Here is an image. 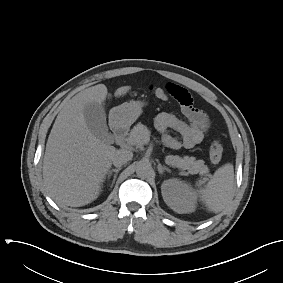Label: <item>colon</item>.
<instances>
[{"instance_id": "1", "label": "colon", "mask_w": 283, "mask_h": 283, "mask_svg": "<svg viewBox=\"0 0 283 283\" xmlns=\"http://www.w3.org/2000/svg\"><path fill=\"white\" fill-rule=\"evenodd\" d=\"M151 92L159 99H166L167 97L165 89L158 86H152ZM209 155L212 164L217 165L220 163L223 155V146L218 139L211 142Z\"/></svg>"}]
</instances>
